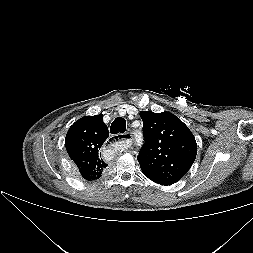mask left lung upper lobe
<instances>
[{
	"label": "left lung upper lobe",
	"instance_id": "obj_1",
	"mask_svg": "<svg viewBox=\"0 0 253 253\" xmlns=\"http://www.w3.org/2000/svg\"><path fill=\"white\" fill-rule=\"evenodd\" d=\"M145 143L137 159L143 174L161 185L180 180L197 155L195 137L170 112L141 111Z\"/></svg>",
	"mask_w": 253,
	"mask_h": 253
}]
</instances>
